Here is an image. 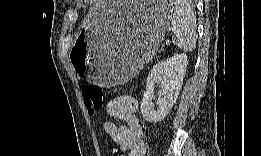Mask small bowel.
Returning <instances> with one entry per match:
<instances>
[{
  "instance_id": "1",
  "label": "small bowel",
  "mask_w": 261,
  "mask_h": 156,
  "mask_svg": "<svg viewBox=\"0 0 261 156\" xmlns=\"http://www.w3.org/2000/svg\"><path fill=\"white\" fill-rule=\"evenodd\" d=\"M138 103L131 95H120L111 99L106 106L109 116L123 121L117 125L111 121L103 124L104 132L116 143L123 155L143 156L146 145L143 130L137 117Z\"/></svg>"
}]
</instances>
